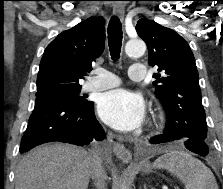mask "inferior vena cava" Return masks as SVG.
Segmentation results:
<instances>
[{
	"mask_svg": "<svg viewBox=\"0 0 223 189\" xmlns=\"http://www.w3.org/2000/svg\"><path fill=\"white\" fill-rule=\"evenodd\" d=\"M92 161L93 167L91 171V177L95 180L96 186L99 189H105L106 173L102 166V159L100 157V149L95 147V150L92 152Z\"/></svg>",
	"mask_w": 223,
	"mask_h": 189,
	"instance_id": "1",
	"label": "inferior vena cava"
}]
</instances>
